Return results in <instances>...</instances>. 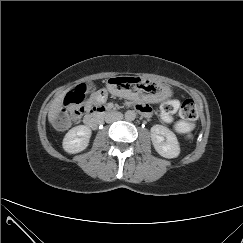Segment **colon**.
Instances as JSON below:
<instances>
[{
    "instance_id": "colon-1",
    "label": "colon",
    "mask_w": 243,
    "mask_h": 243,
    "mask_svg": "<svg viewBox=\"0 0 243 243\" xmlns=\"http://www.w3.org/2000/svg\"><path fill=\"white\" fill-rule=\"evenodd\" d=\"M87 88L85 85H79L74 90L68 92L64 98V107L58 113L54 120V125L59 130L67 129L72 118L80 117L86 109ZM179 109L181 120L176 122L175 129L191 137V130L197 117V107L193 100L187 99L180 106L176 100L168 99L161 107V118L165 122H171L173 115Z\"/></svg>"
}]
</instances>
